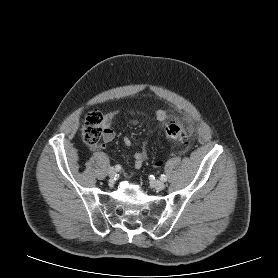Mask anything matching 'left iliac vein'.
<instances>
[{
  "label": "left iliac vein",
  "mask_w": 278,
  "mask_h": 278,
  "mask_svg": "<svg viewBox=\"0 0 278 278\" xmlns=\"http://www.w3.org/2000/svg\"><path fill=\"white\" fill-rule=\"evenodd\" d=\"M152 185L156 190H163L165 188V184L160 180L152 181Z\"/></svg>",
  "instance_id": "4c4485c4"
}]
</instances>
